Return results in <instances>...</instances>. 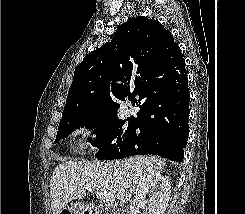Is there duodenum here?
I'll use <instances>...</instances> for the list:
<instances>
[{
  "mask_svg": "<svg viewBox=\"0 0 245 214\" xmlns=\"http://www.w3.org/2000/svg\"><path fill=\"white\" fill-rule=\"evenodd\" d=\"M90 209L93 214H127V210L120 206H101L92 204Z\"/></svg>",
  "mask_w": 245,
  "mask_h": 214,
  "instance_id": "410a0bca",
  "label": "duodenum"
}]
</instances>
